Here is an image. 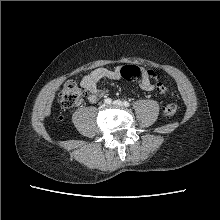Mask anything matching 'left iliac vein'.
I'll return each mask as SVG.
<instances>
[{"mask_svg":"<svg viewBox=\"0 0 220 220\" xmlns=\"http://www.w3.org/2000/svg\"><path fill=\"white\" fill-rule=\"evenodd\" d=\"M112 104H113L114 106H117V107H122V106H123V103H122V101H120V100H115Z\"/></svg>","mask_w":220,"mask_h":220,"instance_id":"left-iliac-vein-1","label":"left iliac vein"}]
</instances>
